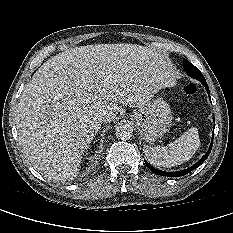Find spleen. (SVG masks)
<instances>
[{
	"instance_id": "spleen-1",
	"label": "spleen",
	"mask_w": 233,
	"mask_h": 233,
	"mask_svg": "<svg viewBox=\"0 0 233 233\" xmlns=\"http://www.w3.org/2000/svg\"><path fill=\"white\" fill-rule=\"evenodd\" d=\"M200 146L198 129L191 127L174 142L164 147L144 145L147 160L156 167H174L187 162Z\"/></svg>"
}]
</instances>
